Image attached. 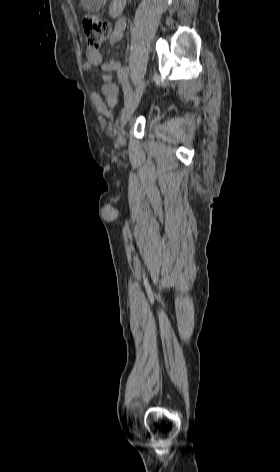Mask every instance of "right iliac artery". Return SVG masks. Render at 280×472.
Returning a JSON list of instances; mask_svg holds the SVG:
<instances>
[{"label":"right iliac artery","instance_id":"right-iliac-artery-1","mask_svg":"<svg viewBox=\"0 0 280 472\" xmlns=\"http://www.w3.org/2000/svg\"><path fill=\"white\" fill-rule=\"evenodd\" d=\"M118 75H119L120 83L123 86L124 96H125V103H127L130 100L131 96H132V91H131L129 81H128L129 68L128 67H122L121 70L119 71Z\"/></svg>","mask_w":280,"mask_h":472}]
</instances>
